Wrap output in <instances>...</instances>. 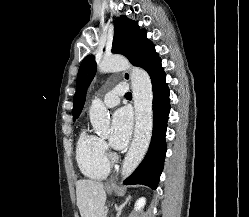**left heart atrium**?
Listing matches in <instances>:
<instances>
[{"mask_svg": "<svg viewBox=\"0 0 249 217\" xmlns=\"http://www.w3.org/2000/svg\"><path fill=\"white\" fill-rule=\"evenodd\" d=\"M132 132V117L128 110H117L112 118L110 144L115 149L126 147Z\"/></svg>", "mask_w": 249, "mask_h": 217, "instance_id": "left-heart-atrium-1", "label": "left heart atrium"}]
</instances>
